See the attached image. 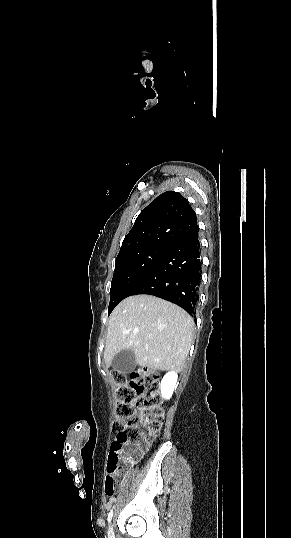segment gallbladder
Listing matches in <instances>:
<instances>
[{"mask_svg": "<svg viewBox=\"0 0 291 538\" xmlns=\"http://www.w3.org/2000/svg\"><path fill=\"white\" fill-rule=\"evenodd\" d=\"M136 365L135 355L129 349L118 352L112 360L113 369L119 373H129L135 369Z\"/></svg>", "mask_w": 291, "mask_h": 538, "instance_id": "gallbladder-1", "label": "gallbladder"}]
</instances>
